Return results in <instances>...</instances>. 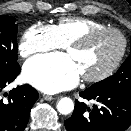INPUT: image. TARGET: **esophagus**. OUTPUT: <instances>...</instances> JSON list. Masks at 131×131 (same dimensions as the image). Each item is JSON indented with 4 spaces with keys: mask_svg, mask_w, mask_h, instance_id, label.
<instances>
[{
    "mask_svg": "<svg viewBox=\"0 0 131 131\" xmlns=\"http://www.w3.org/2000/svg\"><path fill=\"white\" fill-rule=\"evenodd\" d=\"M43 98H44V100H46V101H51V100L54 99V97H53V96H50V95H43Z\"/></svg>",
    "mask_w": 131,
    "mask_h": 131,
    "instance_id": "34e87169",
    "label": "esophagus"
}]
</instances>
